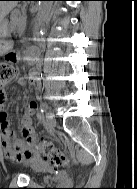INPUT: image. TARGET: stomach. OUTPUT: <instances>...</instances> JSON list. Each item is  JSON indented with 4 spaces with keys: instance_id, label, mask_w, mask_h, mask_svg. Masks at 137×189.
<instances>
[{
    "instance_id": "obj_1",
    "label": "stomach",
    "mask_w": 137,
    "mask_h": 189,
    "mask_svg": "<svg viewBox=\"0 0 137 189\" xmlns=\"http://www.w3.org/2000/svg\"><path fill=\"white\" fill-rule=\"evenodd\" d=\"M8 22L5 20L0 26V54L7 51L10 42L5 38L8 36Z\"/></svg>"
}]
</instances>
